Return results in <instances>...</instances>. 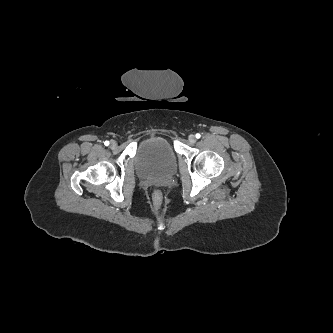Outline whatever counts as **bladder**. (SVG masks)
<instances>
[{
  "instance_id": "1",
  "label": "bladder",
  "mask_w": 333,
  "mask_h": 333,
  "mask_svg": "<svg viewBox=\"0 0 333 333\" xmlns=\"http://www.w3.org/2000/svg\"><path fill=\"white\" fill-rule=\"evenodd\" d=\"M135 168L145 178H166L175 174L177 158L169 142L160 136L141 141L135 155Z\"/></svg>"
}]
</instances>
